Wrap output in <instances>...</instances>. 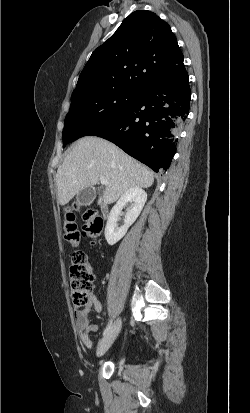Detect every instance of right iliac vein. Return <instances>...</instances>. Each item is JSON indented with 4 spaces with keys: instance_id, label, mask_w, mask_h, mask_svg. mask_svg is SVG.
Returning <instances> with one entry per match:
<instances>
[{
    "instance_id": "63e3f726",
    "label": "right iliac vein",
    "mask_w": 250,
    "mask_h": 413,
    "mask_svg": "<svg viewBox=\"0 0 250 413\" xmlns=\"http://www.w3.org/2000/svg\"><path fill=\"white\" fill-rule=\"evenodd\" d=\"M121 329V320L117 319L110 331L102 338L97 347V356L100 357L110 348Z\"/></svg>"
}]
</instances>
